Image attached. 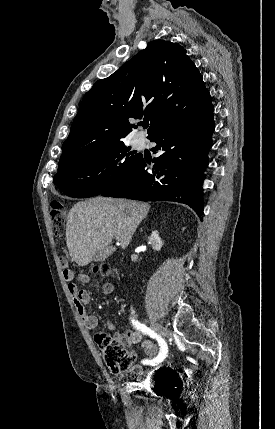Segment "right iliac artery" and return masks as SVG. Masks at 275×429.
<instances>
[{
	"instance_id": "1",
	"label": "right iliac artery",
	"mask_w": 275,
	"mask_h": 429,
	"mask_svg": "<svg viewBox=\"0 0 275 429\" xmlns=\"http://www.w3.org/2000/svg\"><path fill=\"white\" fill-rule=\"evenodd\" d=\"M133 325L135 326L136 329H138L139 331H142L144 334H147L148 336L156 339L159 343L160 346V351L159 354L156 358H154L153 360H143L142 363L143 364H150V365H156L160 362H162L166 355H167V344L164 341V339H162L159 335H157V333H155L152 329H150L149 327H147L146 325L138 322V321H132Z\"/></svg>"
}]
</instances>
